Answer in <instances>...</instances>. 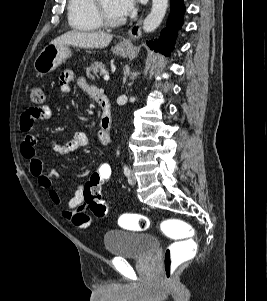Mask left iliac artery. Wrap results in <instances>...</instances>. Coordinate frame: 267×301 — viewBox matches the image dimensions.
Here are the masks:
<instances>
[{"instance_id": "obj_1", "label": "left iliac artery", "mask_w": 267, "mask_h": 301, "mask_svg": "<svg viewBox=\"0 0 267 301\" xmlns=\"http://www.w3.org/2000/svg\"><path fill=\"white\" fill-rule=\"evenodd\" d=\"M131 170L129 169V167L125 164L124 165V174L125 176H130Z\"/></svg>"}]
</instances>
